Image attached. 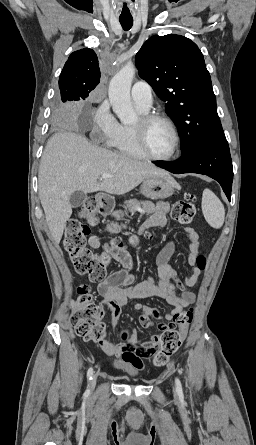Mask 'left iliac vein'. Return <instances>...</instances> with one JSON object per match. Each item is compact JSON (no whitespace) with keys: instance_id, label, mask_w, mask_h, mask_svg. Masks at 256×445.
<instances>
[{"instance_id":"left-iliac-vein-1","label":"left iliac vein","mask_w":256,"mask_h":445,"mask_svg":"<svg viewBox=\"0 0 256 445\" xmlns=\"http://www.w3.org/2000/svg\"><path fill=\"white\" fill-rule=\"evenodd\" d=\"M174 391H177L176 386L174 387Z\"/></svg>"}]
</instances>
